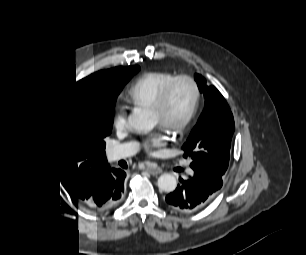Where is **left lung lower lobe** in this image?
Wrapping results in <instances>:
<instances>
[{"instance_id":"0a47b994","label":"left lung lower lobe","mask_w":306,"mask_h":255,"mask_svg":"<svg viewBox=\"0 0 306 255\" xmlns=\"http://www.w3.org/2000/svg\"><path fill=\"white\" fill-rule=\"evenodd\" d=\"M192 169L191 176L180 178L175 191L166 196V202L176 211L190 213L202 208L222 187V176L215 171L205 166Z\"/></svg>"}]
</instances>
